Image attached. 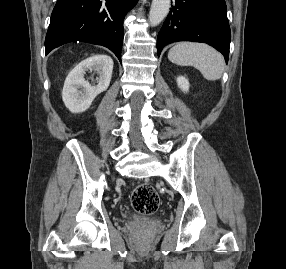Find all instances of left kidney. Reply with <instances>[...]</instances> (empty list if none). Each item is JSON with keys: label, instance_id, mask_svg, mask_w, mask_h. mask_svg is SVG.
<instances>
[{"label": "left kidney", "instance_id": "5707ae66", "mask_svg": "<svg viewBox=\"0 0 286 269\" xmlns=\"http://www.w3.org/2000/svg\"><path fill=\"white\" fill-rule=\"evenodd\" d=\"M177 84L178 87L183 91V92H188L189 90V81L183 77V76H179L177 78Z\"/></svg>", "mask_w": 286, "mask_h": 269}]
</instances>
